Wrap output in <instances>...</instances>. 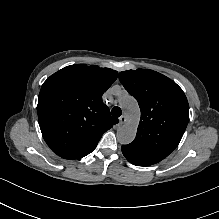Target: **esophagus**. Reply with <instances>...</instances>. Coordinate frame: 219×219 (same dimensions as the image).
<instances>
[{"mask_svg": "<svg viewBox=\"0 0 219 219\" xmlns=\"http://www.w3.org/2000/svg\"><path fill=\"white\" fill-rule=\"evenodd\" d=\"M126 121H127V118L124 114L121 115V117H119V123L120 124H124Z\"/></svg>", "mask_w": 219, "mask_h": 219, "instance_id": "esophagus-1", "label": "esophagus"}]
</instances>
